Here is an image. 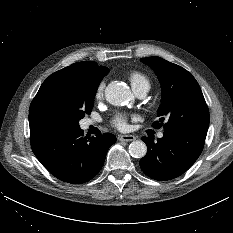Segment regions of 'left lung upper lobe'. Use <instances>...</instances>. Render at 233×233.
I'll use <instances>...</instances> for the list:
<instances>
[{
  "label": "left lung upper lobe",
  "mask_w": 233,
  "mask_h": 233,
  "mask_svg": "<svg viewBox=\"0 0 233 233\" xmlns=\"http://www.w3.org/2000/svg\"><path fill=\"white\" fill-rule=\"evenodd\" d=\"M156 73L161 87L162 100L157 115L156 127L164 131L181 128L208 130L209 111L196 79L179 65L160 57L141 58Z\"/></svg>",
  "instance_id": "1"
}]
</instances>
